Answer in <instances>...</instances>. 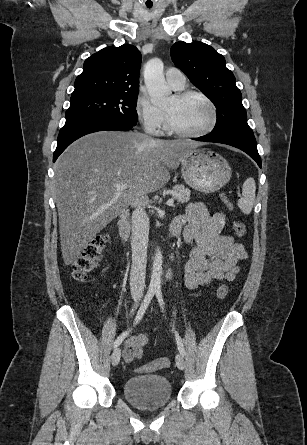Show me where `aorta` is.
<instances>
[{
    "mask_svg": "<svg viewBox=\"0 0 307 445\" xmlns=\"http://www.w3.org/2000/svg\"><path fill=\"white\" fill-rule=\"evenodd\" d=\"M163 70L164 64L161 58H150L144 68V82L150 94V100L157 106H168L173 102L171 88L166 84ZM162 265V251H156L152 263L149 291H161Z\"/></svg>",
    "mask_w": 307,
    "mask_h": 445,
    "instance_id": "1",
    "label": "aorta"
}]
</instances>
